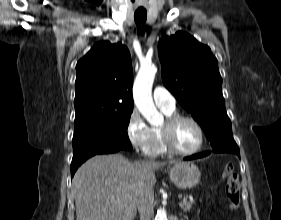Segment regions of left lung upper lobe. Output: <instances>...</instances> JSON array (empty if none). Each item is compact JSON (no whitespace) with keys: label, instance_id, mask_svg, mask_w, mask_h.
Instances as JSON below:
<instances>
[{"label":"left lung upper lobe","instance_id":"5c2ea615","mask_svg":"<svg viewBox=\"0 0 281 220\" xmlns=\"http://www.w3.org/2000/svg\"><path fill=\"white\" fill-rule=\"evenodd\" d=\"M158 54L165 87L201 125L212 151L238 149L225 110L218 61L211 49L180 31L162 36Z\"/></svg>","mask_w":281,"mask_h":220}]
</instances>
